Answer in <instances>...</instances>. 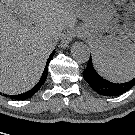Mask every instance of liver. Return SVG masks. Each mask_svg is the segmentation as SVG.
Masks as SVG:
<instances>
[{"label":"liver","instance_id":"liver-1","mask_svg":"<svg viewBox=\"0 0 135 135\" xmlns=\"http://www.w3.org/2000/svg\"><path fill=\"white\" fill-rule=\"evenodd\" d=\"M77 18L63 0H0V92L34 87L55 47L51 39Z\"/></svg>","mask_w":135,"mask_h":135}]
</instances>
